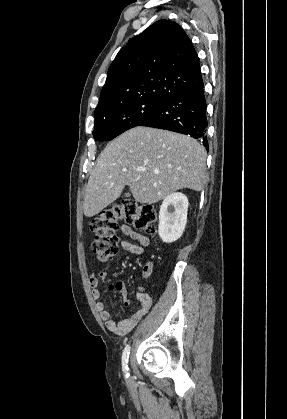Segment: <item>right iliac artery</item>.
Returning <instances> with one entry per match:
<instances>
[{
    "label": "right iliac artery",
    "mask_w": 287,
    "mask_h": 419,
    "mask_svg": "<svg viewBox=\"0 0 287 419\" xmlns=\"http://www.w3.org/2000/svg\"><path fill=\"white\" fill-rule=\"evenodd\" d=\"M129 354H130V345H127L123 351L122 354V368L123 371L125 373V376L128 378L129 377V368H128V358H129Z\"/></svg>",
    "instance_id": "1"
}]
</instances>
